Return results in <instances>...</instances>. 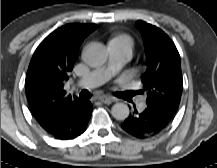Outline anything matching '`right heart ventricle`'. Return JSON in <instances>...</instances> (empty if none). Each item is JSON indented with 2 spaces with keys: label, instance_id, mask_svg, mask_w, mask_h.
<instances>
[{
  "label": "right heart ventricle",
  "instance_id": "obj_1",
  "mask_svg": "<svg viewBox=\"0 0 217 168\" xmlns=\"http://www.w3.org/2000/svg\"><path fill=\"white\" fill-rule=\"evenodd\" d=\"M110 43H124L129 47V49L132 52L133 42L132 39L127 35H122V34L116 35L110 40Z\"/></svg>",
  "mask_w": 217,
  "mask_h": 168
}]
</instances>
